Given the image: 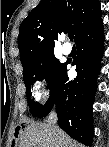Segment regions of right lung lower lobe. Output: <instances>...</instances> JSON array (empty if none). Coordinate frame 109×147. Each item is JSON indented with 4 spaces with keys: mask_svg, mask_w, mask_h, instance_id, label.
Wrapping results in <instances>:
<instances>
[{
    "mask_svg": "<svg viewBox=\"0 0 109 147\" xmlns=\"http://www.w3.org/2000/svg\"><path fill=\"white\" fill-rule=\"evenodd\" d=\"M75 41L78 56L73 65H76L77 77L69 81L67 63H64L62 71L51 88L50 99L37 117L48 115L55 104L59 126L73 139L91 146L94 133L92 105L100 61L104 52L101 16Z\"/></svg>",
    "mask_w": 109,
    "mask_h": 147,
    "instance_id": "98d812e1",
    "label": "right lung lower lobe"
}]
</instances>
